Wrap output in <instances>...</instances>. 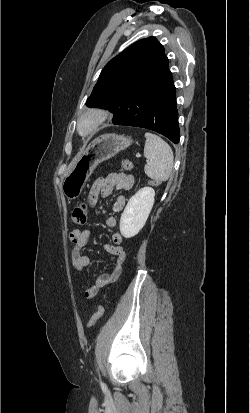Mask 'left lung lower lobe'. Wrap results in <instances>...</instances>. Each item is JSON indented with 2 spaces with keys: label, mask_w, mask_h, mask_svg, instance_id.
<instances>
[{
  "label": "left lung lower lobe",
  "mask_w": 250,
  "mask_h": 413,
  "mask_svg": "<svg viewBox=\"0 0 250 413\" xmlns=\"http://www.w3.org/2000/svg\"><path fill=\"white\" fill-rule=\"evenodd\" d=\"M113 124L156 131L174 143L179 142L175 86L170 71L155 82L141 84L117 110Z\"/></svg>",
  "instance_id": "left-lung-lower-lobe-1"
}]
</instances>
